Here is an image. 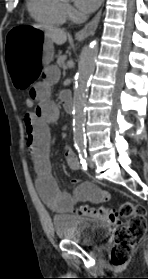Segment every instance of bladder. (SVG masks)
Here are the masks:
<instances>
[{
    "mask_svg": "<svg viewBox=\"0 0 148 279\" xmlns=\"http://www.w3.org/2000/svg\"><path fill=\"white\" fill-rule=\"evenodd\" d=\"M52 223L59 240L88 247L103 243L110 232V227L99 220L72 215H56Z\"/></svg>",
    "mask_w": 148,
    "mask_h": 279,
    "instance_id": "bladder-1",
    "label": "bladder"
}]
</instances>
